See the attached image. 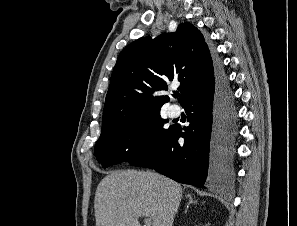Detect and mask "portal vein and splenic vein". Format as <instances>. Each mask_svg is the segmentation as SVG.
<instances>
[{"label":"portal vein and splenic vein","mask_w":297,"mask_h":226,"mask_svg":"<svg viewBox=\"0 0 297 226\" xmlns=\"http://www.w3.org/2000/svg\"><path fill=\"white\" fill-rule=\"evenodd\" d=\"M145 222H146V224L149 226V224L151 223V218L147 217V218L145 219Z\"/></svg>","instance_id":"portal-vein-and-splenic-vein-1"}]
</instances>
